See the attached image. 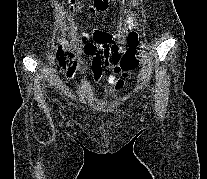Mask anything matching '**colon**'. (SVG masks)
I'll return each instance as SVG.
<instances>
[{"mask_svg": "<svg viewBox=\"0 0 207 179\" xmlns=\"http://www.w3.org/2000/svg\"><path fill=\"white\" fill-rule=\"evenodd\" d=\"M73 2V1H70ZM111 0H91L85 5L86 10L95 15L97 13L106 12L110 6ZM86 50L94 52V56L90 60V65L95 73H99L104 66L110 63L119 62L118 47L114 44V39L111 34L106 31H98L92 34V36L86 39ZM128 50L124 53L120 59L119 65L116 67L117 72H122V75L126 77L129 71L135 70L139 66V60L136 56V46L139 42V37L135 32H131L128 37ZM70 53L62 50L61 60L63 63L69 61ZM71 71H68V75ZM121 84V81H119Z\"/></svg>", "mask_w": 207, "mask_h": 179, "instance_id": "colon-1", "label": "colon"}]
</instances>
